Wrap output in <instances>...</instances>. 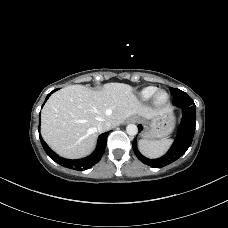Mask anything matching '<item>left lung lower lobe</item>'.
I'll list each match as a JSON object with an SVG mask.
<instances>
[{"instance_id":"left-lung-lower-lobe-1","label":"left lung lower lobe","mask_w":228,"mask_h":228,"mask_svg":"<svg viewBox=\"0 0 228 228\" xmlns=\"http://www.w3.org/2000/svg\"><path fill=\"white\" fill-rule=\"evenodd\" d=\"M173 105L182 108L183 118L181 120V125L179 126L176 139L164 156L158 159H148L139 152L136 144V138L133 141L132 145L137 158L142 163L151 167L161 168L176 161L187 151L192 143L195 132L196 106L189 96L184 98H173ZM138 129L141 131L143 127L138 125Z\"/></svg>"}]
</instances>
